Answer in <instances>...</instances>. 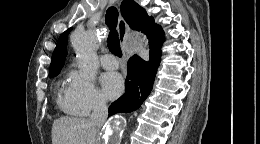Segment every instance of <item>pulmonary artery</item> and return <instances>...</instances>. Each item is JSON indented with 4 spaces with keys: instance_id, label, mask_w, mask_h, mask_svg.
<instances>
[{
    "instance_id": "pulmonary-artery-1",
    "label": "pulmonary artery",
    "mask_w": 260,
    "mask_h": 144,
    "mask_svg": "<svg viewBox=\"0 0 260 144\" xmlns=\"http://www.w3.org/2000/svg\"><path fill=\"white\" fill-rule=\"evenodd\" d=\"M101 64L105 69L113 70L119 67V62L114 55L105 54L101 57Z\"/></svg>"
}]
</instances>
